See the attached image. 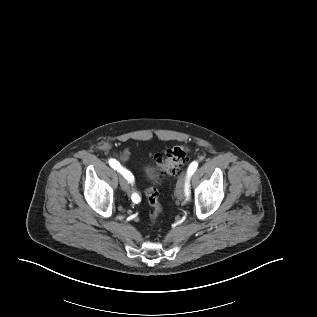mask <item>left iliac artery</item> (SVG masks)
Here are the masks:
<instances>
[{"label":"left iliac artery","instance_id":"left-iliac-artery-1","mask_svg":"<svg viewBox=\"0 0 317 317\" xmlns=\"http://www.w3.org/2000/svg\"><path fill=\"white\" fill-rule=\"evenodd\" d=\"M198 167V162L197 161H193L189 167H188V171H187V174H188V179L190 178V176L196 171ZM188 185V183H187ZM186 185V190H187V194H188V186Z\"/></svg>","mask_w":317,"mask_h":317}]
</instances>
